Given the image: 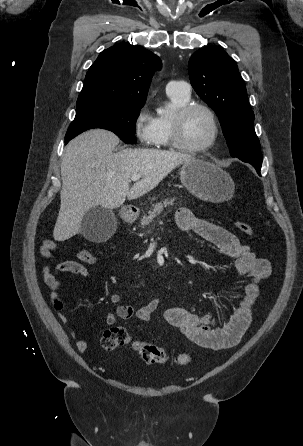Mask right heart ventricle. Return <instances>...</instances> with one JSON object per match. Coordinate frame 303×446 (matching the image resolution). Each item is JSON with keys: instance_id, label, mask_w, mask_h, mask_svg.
Masks as SVG:
<instances>
[{"instance_id": "obj_1", "label": "right heart ventricle", "mask_w": 303, "mask_h": 446, "mask_svg": "<svg viewBox=\"0 0 303 446\" xmlns=\"http://www.w3.org/2000/svg\"><path fill=\"white\" fill-rule=\"evenodd\" d=\"M169 106L174 113L177 109L190 103V94L185 95L179 92H167ZM173 113L169 115H160L155 118L156 136L153 144L158 148H166L171 146V129L170 122Z\"/></svg>"}]
</instances>
